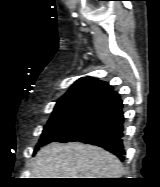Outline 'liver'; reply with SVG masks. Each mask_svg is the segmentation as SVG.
Instances as JSON below:
<instances>
[{
    "label": "liver",
    "instance_id": "1",
    "mask_svg": "<svg viewBox=\"0 0 160 187\" xmlns=\"http://www.w3.org/2000/svg\"><path fill=\"white\" fill-rule=\"evenodd\" d=\"M32 178H120V160L106 150L79 142H53L38 151Z\"/></svg>",
    "mask_w": 160,
    "mask_h": 187
}]
</instances>
